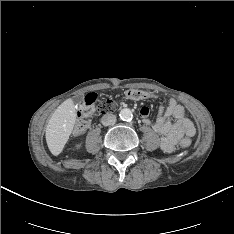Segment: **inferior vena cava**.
Instances as JSON below:
<instances>
[{
    "label": "inferior vena cava",
    "mask_w": 234,
    "mask_h": 234,
    "mask_svg": "<svg viewBox=\"0 0 234 234\" xmlns=\"http://www.w3.org/2000/svg\"><path fill=\"white\" fill-rule=\"evenodd\" d=\"M101 122L104 126L113 125L116 122V116L114 114L108 113L101 118Z\"/></svg>",
    "instance_id": "602c4592"
}]
</instances>
